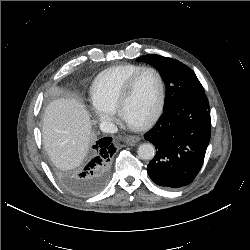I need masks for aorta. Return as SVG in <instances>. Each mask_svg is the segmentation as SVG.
Wrapping results in <instances>:
<instances>
[{
    "label": "aorta",
    "mask_w": 250,
    "mask_h": 250,
    "mask_svg": "<svg viewBox=\"0 0 250 250\" xmlns=\"http://www.w3.org/2000/svg\"><path fill=\"white\" fill-rule=\"evenodd\" d=\"M137 153L142 160H152L155 156V147L151 143H143L138 147Z\"/></svg>",
    "instance_id": "762f6f07"
}]
</instances>
